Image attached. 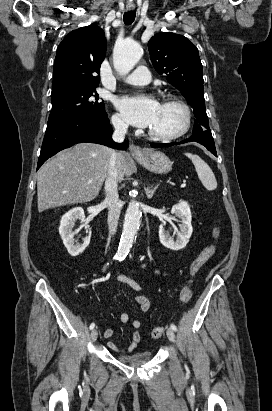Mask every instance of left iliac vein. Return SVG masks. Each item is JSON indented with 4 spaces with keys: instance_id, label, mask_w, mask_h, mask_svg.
Returning <instances> with one entry per match:
<instances>
[{
    "instance_id": "obj_1",
    "label": "left iliac vein",
    "mask_w": 272,
    "mask_h": 411,
    "mask_svg": "<svg viewBox=\"0 0 272 411\" xmlns=\"http://www.w3.org/2000/svg\"><path fill=\"white\" fill-rule=\"evenodd\" d=\"M167 337L170 341L175 342L176 337H175V333L171 328H168L166 331Z\"/></svg>"
}]
</instances>
